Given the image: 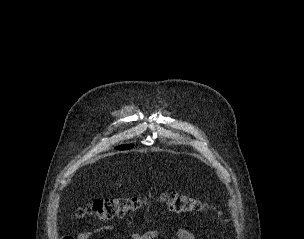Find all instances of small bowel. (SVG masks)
Wrapping results in <instances>:
<instances>
[{
	"mask_svg": "<svg viewBox=\"0 0 304 239\" xmlns=\"http://www.w3.org/2000/svg\"><path fill=\"white\" fill-rule=\"evenodd\" d=\"M113 229L112 225H103V226H98L89 230H85L81 233H79L76 237H64L62 239H89L91 238L94 234L104 231V230H111ZM158 235L157 231L155 230H150L147 231L143 234H137L134 233L132 235L133 239H154ZM175 237L176 239H196L195 234L190 231L187 228H179L175 232Z\"/></svg>",
	"mask_w": 304,
	"mask_h": 239,
	"instance_id": "c3829d8e",
	"label": "small bowel"
}]
</instances>
